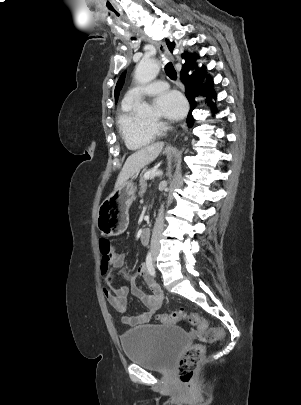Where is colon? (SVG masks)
Returning a JSON list of instances; mask_svg holds the SVG:
<instances>
[{
    "mask_svg": "<svg viewBox=\"0 0 301 405\" xmlns=\"http://www.w3.org/2000/svg\"><path fill=\"white\" fill-rule=\"evenodd\" d=\"M99 248L103 255L107 256L111 252L112 244L106 235L99 238ZM156 320L161 324H174L179 321H187L198 330L200 344L190 347L181 357L178 363L179 380L188 385L193 375L204 357L205 345L218 344L223 338V331L219 328H209L206 320L198 313L187 314L183 310H176L171 313H161L156 315Z\"/></svg>",
    "mask_w": 301,
    "mask_h": 405,
    "instance_id": "1",
    "label": "colon"
}]
</instances>
